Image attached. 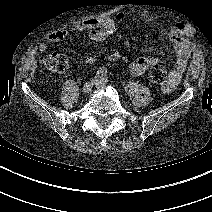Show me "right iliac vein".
<instances>
[{
	"label": "right iliac vein",
	"mask_w": 212,
	"mask_h": 212,
	"mask_svg": "<svg viewBox=\"0 0 212 212\" xmlns=\"http://www.w3.org/2000/svg\"><path fill=\"white\" fill-rule=\"evenodd\" d=\"M97 80H98V78H94V79L87 81L82 88V92L85 94L89 93L92 90L94 84H96Z\"/></svg>",
	"instance_id": "1"
}]
</instances>
